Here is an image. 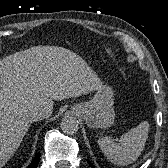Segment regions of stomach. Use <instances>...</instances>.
Instances as JSON below:
<instances>
[{
    "label": "stomach",
    "instance_id": "obj_1",
    "mask_svg": "<svg viewBox=\"0 0 168 168\" xmlns=\"http://www.w3.org/2000/svg\"><path fill=\"white\" fill-rule=\"evenodd\" d=\"M114 93L112 88L101 85L94 97L84 103L76 104L73 110L83 118L90 128H108L114 123Z\"/></svg>",
    "mask_w": 168,
    "mask_h": 168
}]
</instances>
